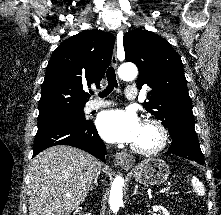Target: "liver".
Instances as JSON below:
<instances>
[{
  "instance_id": "1",
  "label": "liver",
  "mask_w": 221,
  "mask_h": 215,
  "mask_svg": "<svg viewBox=\"0 0 221 215\" xmlns=\"http://www.w3.org/2000/svg\"><path fill=\"white\" fill-rule=\"evenodd\" d=\"M29 170V215H69L85 201L101 162L83 150L59 145L39 153Z\"/></svg>"
}]
</instances>
